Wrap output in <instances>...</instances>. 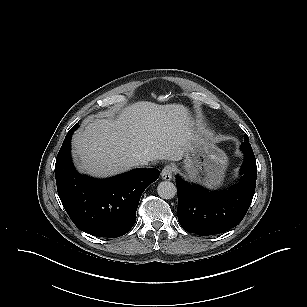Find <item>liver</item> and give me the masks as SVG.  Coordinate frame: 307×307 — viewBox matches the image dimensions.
Masks as SVG:
<instances>
[{"instance_id":"1","label":"liver","mask_w":307,"mask_h":307,"mask_svg":"<svg viewBox=\"0 0 307 307\" xmlns=\"http://www.w3.org/2000/svg\"><path fill=\"white\" fill-rule=\"evenodd\" d=\"M187 107L133 103L117 118L95 119L72 140L78 169L95 177H109L131 169L140 159L181 160L194 135Z\"/></svg>"}]
</instances>
